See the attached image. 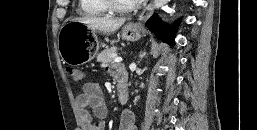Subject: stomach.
I'll use <instances>...</instances> for the list:
<instances>
[{
    "mask_svg": "<svg viewBox=\"0 0 257 130\" xmlns=\"http://www.w3.org/2000/svg\"><path fill=\"white\" fill-rule=\"evenodd\" d=\"M91 30V33H90ZM94 30L78 21L71 20L63 24L58 35V49L62 61L77 66L91 61L98 53V46L88 39ZM121 37L127 41L141 38L140 26L127 23L123 26Z\"/></svg>",
    "mask_w": 257,
    "mask_h": 130,
    "instance_id": "1",
    "label": "stomach"
}]
</instances>
